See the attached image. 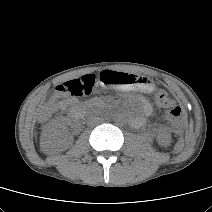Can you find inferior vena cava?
Here are the masks:
<instances>
[{"label":"inferior vena cava","mask_w":212,"mask_h":212,"mask_svg":"<svg viewBox=\"0 0 212 212\" xmlns=\"http://www.w3.org/2000/svg\"><path fill=\"white\" fill-rule=\"evenodd\" d=\"M100 121H101V118H99V117H95V116L89 117L88 118V125L93 126V125L99 123Z\"/></svg>","instance_id":"1"}]
</instances>
